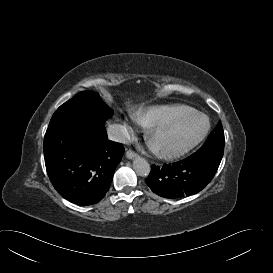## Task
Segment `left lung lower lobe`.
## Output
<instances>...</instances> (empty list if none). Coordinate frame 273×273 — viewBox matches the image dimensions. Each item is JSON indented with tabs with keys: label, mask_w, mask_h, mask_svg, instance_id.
<instances>
[{
	"label": "left lung lower lobe",
	"mask_w": 273,
	"mask_h": 273,
	"mask_svg": "<svg viewBox=\"0 0 273 273\" xmlns=\"http://www.w3.org/2000/svg\"><path fill=\"white\" fill-rule=\"evenodd\" d=\"M220 163L191 155L184 160L162 167L152 165L146 184L157 195L176 199L204 189L214 177Z\"/></svg>",
	"instance_id": "1"
}]
</instances>
